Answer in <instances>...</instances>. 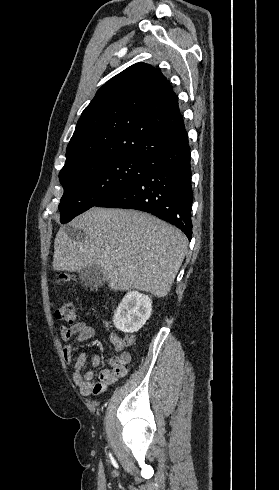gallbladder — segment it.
<instances>
[{
  "mask_svg": "<svg viewBox=\"0 0 279 490\" xmlns=\"http://www.w3.org/2000/svg\"><path fill=\"white\" fill-rule=\"evenodd\" d=\"M78 276L87 288H101L106 282V278L99 266H87L83 270H79Z\"/></svg>",
  "mask_w": 279,
  "mask_h": 490,
  "instance_id": "gallbladder-1",
  "label": "gallbladder"
}]
</instances>
